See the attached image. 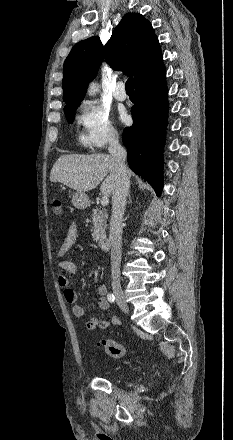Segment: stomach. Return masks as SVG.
I'll use <instances>...</instances> for the list:
<instances>
[{"label":"stomach","mask_w":233,"mask_h":440,"mask_svg":"<svg viewBox=\"0 0 233 440\" xmlns=\"http://www.w3.org/2000/svg\"><path fill=\"white\" fill-rule=\"evenodd\" d=\"M72 204L77 209H86L90 205L89 197L84 192H75L72 196Z\"/></svg>","instance_id":"obj_1"}]
</instances>
